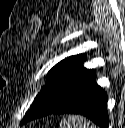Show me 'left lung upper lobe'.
<instances>
[{
  "instance_id": "1",
  "label": "left lung upper lobe",
  "mask_w": 125,
  "mask_h": 128,
  "mask_svg": "<svg viewBox=\"0 0 125 128\" xmlns=\"http://www.w3.org/2000/svg\"><path fill=\"white\" fill-rule=\"evenodd\" d=\"M85 60L86 56L79 54L57 63L48 72L45 86L34 99L32 109L25 114L21 124L50 115L62 107L80 79L90 71L81 66Z\"/></svg>"
}]
</instances>
